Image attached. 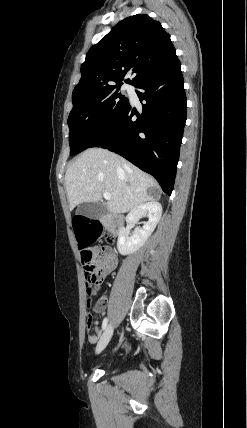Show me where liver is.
<instances>
[{
    "mask_svg": "<svg viewBox=\"0 0 247 428\" xmlns=\"http://www.w3.org/2000/svg\"><path fill=\"white\" fill-rule=\"evenodd\" d=\"M65 186L70 210L84 202H98L108 192L110 213H126L154 201L148 189L158 188L151 176L103 148L84 151L67 169Z\"/></svg>",
    "mask_w": 247,
    "mask_h": 428,
    "instance_id": "6515ba94",
    "label": "liver"
}]
</instances>
